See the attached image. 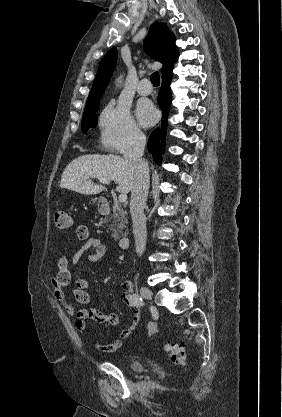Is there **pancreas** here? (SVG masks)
<instances>
[{
  "instance_id": "1",
  "label": "pancreas",
  "mask_w": 282,
  "mask_h": 417,
  "mask_svg": "<svg viewBox=\"0 0 282 417\" xmlns=\"http://www.w3.org/2000/svg\"><path fill=\"white\" fill-rule=\"evenodd\" d=\"M113 211L114 215H106L103 223H109L107 227L111 231V237L118 241L120 235H122V229H125V223H128V217L126 211L122 209L121 204H118V202H115Z\"/></svg>"
}]
</instances>
